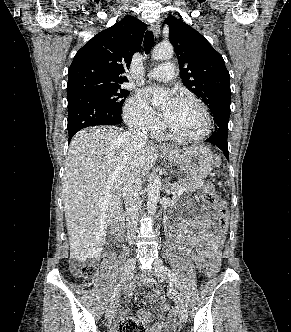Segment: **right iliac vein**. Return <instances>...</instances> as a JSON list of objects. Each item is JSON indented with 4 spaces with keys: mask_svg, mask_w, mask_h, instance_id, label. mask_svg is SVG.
I'll return each instance as SVG.
<instances>
[{
    "mask_svg": "<svg viewBox=\"0 0 291 332\" xmlns=\"http://www.w3.org/2000/svg\"><path fill=\"white\" fill-rule=\"evenodd\" d=\"M135 264H136V259L135 258H129L126 261V264L124 266V270L121 276V282H125L129 276L131 275V273L133 272L134 268H135ZM115 313V304H111L105 313V316L107 319H111L114 316Z\"/></svg>",
    "mask_w": 291,
    "mask_h": 332,
    "instance_id": "right-iliac-vein-1",
    "label": "right iliac vein"
}]
</instances>
